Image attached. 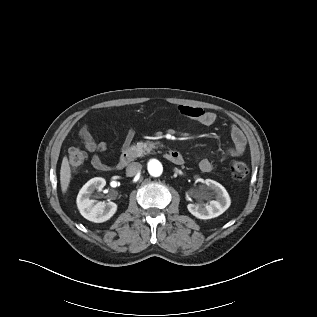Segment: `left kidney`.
I'll list each match as a JSON object with an SVG mask.
<instances>
[{"label":"left kidney","instance_id":"obj_1","mask_svg":"<svg viewBox=\"0 0 317 317\" xmlns=\"http://www.w3.org/2000/svg\"><path fill=\"white\" fill-rule=\"evenodd\" d=\"M205 185L216 195V200L209 204L190 203L187 205L188 211L199 219H212L224 213L230 206L231 200L226 189L218 182L206 179Z\"/></svg>","mask_w":317,"mask_h":317}]
</instances>
